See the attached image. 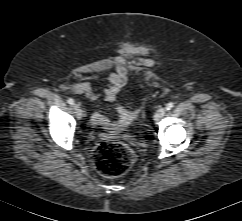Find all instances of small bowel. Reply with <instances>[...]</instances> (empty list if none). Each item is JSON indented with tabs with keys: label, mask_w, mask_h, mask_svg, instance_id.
I'll return each mask as SVG.
<instances>
[{
	"label": "small bowel",
	"mask_w": 242,
	"mask_h": 221,
	"mask_svg": "<svg viewBox=\"0 0 242 221\" xmlns=\"http://www.w3.org/2000/svg\"><path fill=\"white\" fill-rule=\"evenodd\" d=\"M128 61V57H121L117 60L115 71L108 76V86L104 91H96L91 86L90 80L95 77L94 74L80 75L78 80L70 85L71 91L76 94H83L91 101H98L103 98L107 102H114L119 90L126 84ZM117 111L123 113L122 107L118 106ZM90 125L93 129L101 131H109L111 129L108 118L98 112L91 115Z\"/></svg>",
	"instance_id": "small-bowel-1"
}]
</instances>
